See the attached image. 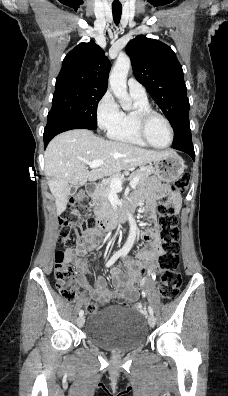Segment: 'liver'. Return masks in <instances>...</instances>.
<instances>
[{
	"label": "liver",
	"mask_w": 228,
	"mask_h": 396,
	"mask_svg": "<svg viewBox=\"0 0 228 396\" xmlns=\"http://www.w3.org/2000/svg\"><path fill=\"white\" fill-rule=\"evenodd\" d=\"M171 151L143 149L125 142L105 140L87 129L57 135L45 151V173L55 198L57 214L65 209L72 185L81 186L120 171L159 160ZM102 159L104 164L91 171L87 162Z\"/></svg>",
	"instance_id": "1"
}]
</instances>
